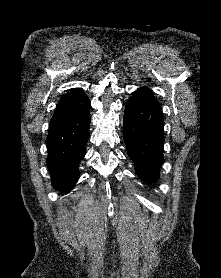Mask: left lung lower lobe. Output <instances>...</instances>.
Listing matches in <instances>:
<instances>
[{"label": "left lung lower lobe", "mask_w": 221, "mask_h": 278, "mask_svg": "<svg viewBox=\"0 0 221 278\" xmlns=\"http://www.w3.org/2000/svg\"><path fill=\"white\" fill-rule=\"evenodd\" d=\"M164 120L159 103L128 100L124 111L123 137L136 174L145 182L159 178L163 163Z\"/></svg>", "instance_id": "1"}]
</instances>
